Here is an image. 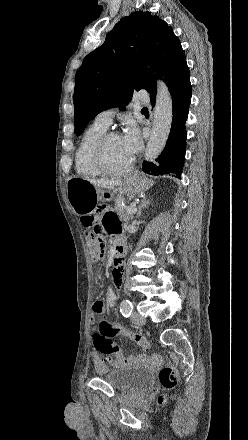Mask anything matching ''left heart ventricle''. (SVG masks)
<instances>
[{"mask_svg":"<svg viewBox=\"0 0 248 440\" xmlns=\"http://www.w3.org/2000/svg\"><path fill=\"white\" fill-rule=\"evenodd\" d=\"M105 159L111 169H122L129 165L132 157L126 151L120 136L112 137L107 144Z\"/></svg>","mask_w":248,"mask_h":440,"instance_id":"1","label":"left heart ventricle"}]
</instances>
